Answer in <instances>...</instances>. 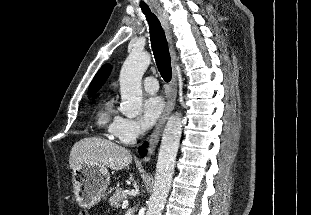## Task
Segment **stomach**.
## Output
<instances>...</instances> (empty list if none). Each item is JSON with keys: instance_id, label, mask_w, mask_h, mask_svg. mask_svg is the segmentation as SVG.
Listing matches in <instances>:
<instances>
[{"instance_id": "0dacf381", "label": "stomach", "mask_w": 311, "mask_h": 215, "mask_svg": "<svg viewBox=\"0 0 311 215\" xmlns=\"http://www.w3.org/2000/svg\"><path fill=\"white\" fill-rule=\"evenodd\" d=\"M110 174L105 166L80 164L73 170L75 200L82 208H91L105 198Z\"/></svg>"}]
</instances>
